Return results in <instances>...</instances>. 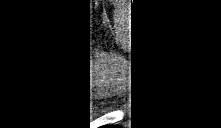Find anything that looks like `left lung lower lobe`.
I'll return each instance as SVG.
<instances>
[{
  "instance_id": "0a47b994",
  "label": "left lung lower lobe",
  "mask_w": 221,
  "mask_h": 128,
  "mask_svg": "<svg viewBox=\"0 0 221 128\" xmlns=\"http://www.w3.org/2000/svg\"><path fill=\"white\" fill-rule=\"evenodd\" d=\"M98 118H100L99 114H96L93 117H88V115H87L79 121V126L81 128H90V127L91 128L92 127H97V128H126V127H130L129 123L122 122V121H119V123L115 126L103 125L102 122Z\"/></svg>"
}]
</instances>
